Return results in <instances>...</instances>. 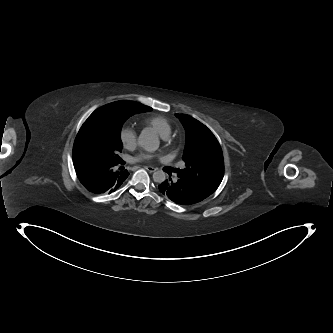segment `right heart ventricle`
Returning <instances> with one entry per match:
<instances>
[{"mask_svg":"<svg viewBox=\"0 0 333 333\" xmlns=\"http://www.w3.org/2000/svg\"><path fill=\"white\" fill-rule=\"evenodd\" d=\"M143 123L152 127L156 130L162 137H167L171 132V126L167 119L162 116H151L143 120Z\"/></svg>","mask_w":333,"mask_h":333,"instance_id":"e07e8e85","label":"right heart ventricle"}]
</instances>
